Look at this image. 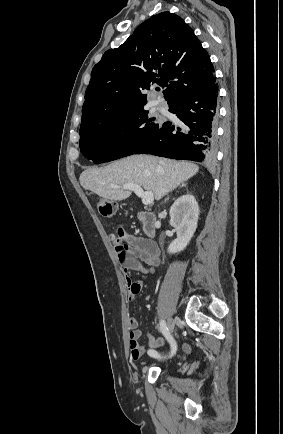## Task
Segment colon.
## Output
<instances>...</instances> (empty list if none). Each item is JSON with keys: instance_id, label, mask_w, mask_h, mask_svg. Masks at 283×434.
Wrapping results in <instances>:
<instances>
[{"instance_id": "1", "label": "colon", "mask_w": 283, "mask_h": 434, "mask_svg": "<svg viewBox=\"0 0 283 434\" xmlns=\"http://www.w3.org/2000/svg\"><path fill=\"white\" fill-rule=\"evenodd\" d=\"M99 212L105 217H111L116 212V204L114 201L101 198L98 201Z\"/></svg>"}]
</instances>
